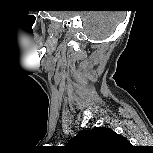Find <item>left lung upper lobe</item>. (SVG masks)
Instances as JSON below:
<instances>
[{"label":"left lung upper lobe","instance_id":"5c2ea615","mask_svg":"<svg viewBox=\"0 0 153 153\" xmlns=\"http://www.w3.org/2000/svg\"><path fill=\"white\" fill-rule=\"evenodd\" d=\"M68 145L81 153H111L125 149L129 142L110 128L95 127L79 132Z\"/></svg>","mask_w":153,"mask_h":153}]
</instances>
